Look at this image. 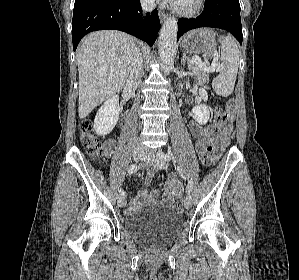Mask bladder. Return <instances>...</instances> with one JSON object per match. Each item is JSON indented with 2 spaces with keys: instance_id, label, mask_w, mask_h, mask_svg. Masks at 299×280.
<instances>
[{
  "instance_id": "bladder-1",
  "label": "bladder",
  "mask_w": 299,
  "mask_h": 280,
  "mask_svg": "<svg viewBox=\"0 0 299 280\" xmlns=\"http://www.w3.org/2000/svg\"><path fill=\"white\" fill-rule=\"evenodd\" d=\"M125 227L138 242L158 249L175 239L182 227V217L170 207H151L128 217Z\"/></svg>"
}]
</instances>
